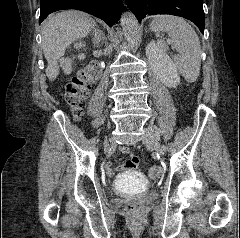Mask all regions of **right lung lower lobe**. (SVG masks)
<instances>
[{
  "label": "right lung lower lobe",
  "instance_id": "right-lung-lower-lobe-1",
  "mask_svg": "<svg viewBox=\"0 0 240 238\" xmlns=\"http://www.w3.org/2000/svg\"><path fill=\"white\" fill-rule=\"evenodd\" d=\"M39 23L52 12L65 9H80L113 25L120 19L122 0H41Z\"/></svg>",
  "mask_w": 240,
  "mask_h": 238
}]
</instances>
